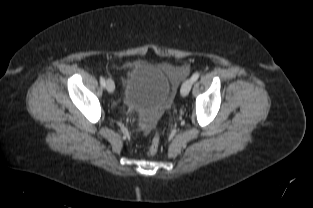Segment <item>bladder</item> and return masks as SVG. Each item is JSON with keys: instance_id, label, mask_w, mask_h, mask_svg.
<instances>
[{"instance_id": "1", "label": "bladder", "mask_w": 313, "mask_h": 208, "mask_svg": "<svg viewBox=\"0 0 313 208\" xmlns=\"http://www.w3.org/2000/svg\"><path fill=\"white\" fill-rule=\"evenodd\" d=\"M171 85L164 72L147 64L136 65L123 89V102L134 112L161 114L169 101Z\"/></svg>"}]
</instances>
